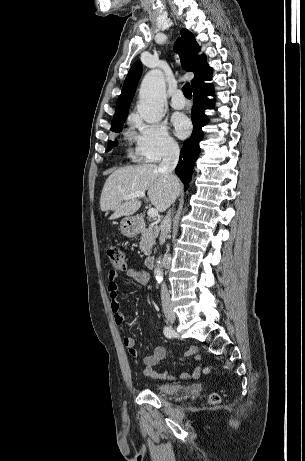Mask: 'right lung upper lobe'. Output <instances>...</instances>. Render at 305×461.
Wrapping results in <instances>:
<instances>
[{"label": "right lung upper lobe", "instance_id": "cb5924a9", "mask_svg": "<svg viewBox=\"0 0 305 461\" xmlns=\"http://www.w3.org/2000/svg\"><path fill=\"white\" fill-rule=\"evenodd\" d=\"M176 51L180 56L184 70L195 74L191 80L192 88L212 75V69L207 65L206 56H199L197 54L200 51V47L196 43L193 34L188 30H181V36L176 41ZM141 73L142 64L140 61H137L130 68L124 81L122 92L117 100L112 123L126 120Z\"/></svg>", "mask_w": 305, "mask_h": 461}]
</instances>
